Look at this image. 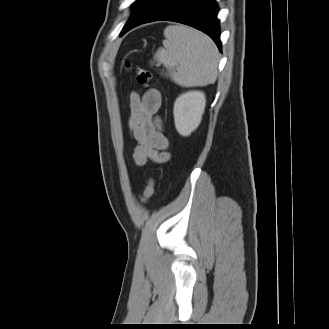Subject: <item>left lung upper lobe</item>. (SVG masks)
<instances>
[{
	"label": "left lung upper lobe",
	"instance_id": "obj_1",
	"mask_svg": "<svg viewBox=\"0 0 329 329\" xmlns=\"http://www.w3.org/2000/svg\"><path fill=\"white\" fill-rule=\"evenodd\" d=\"M145 0H136L134 3H133V8L134 10L139 7ZM133 10V11H134Z\"/></svg>",
	"mask_w": 329,
	"mask_h": 329
}]
</instances>
